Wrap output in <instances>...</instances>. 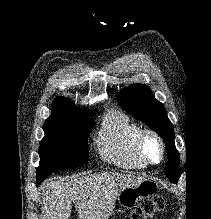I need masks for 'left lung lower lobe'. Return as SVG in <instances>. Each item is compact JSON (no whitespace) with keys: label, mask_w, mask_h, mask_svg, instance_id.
<instances>
[{"label":"left lung lower lobe","mask_w":211,"mask_h":219,"mask_svg":"<svg viewBox=\"0 0 211 219\" xmlns=\"http://www.w3.org/2000/svg\"><path fill=\"white\" fill-rule=\"evenodd\" d=\"M168 161L169 163H174L175 161H179V154L174 151L169 152Z\"/></svg>","instance_id":"left-lung-lower-lobe-1"}]
</instances>
